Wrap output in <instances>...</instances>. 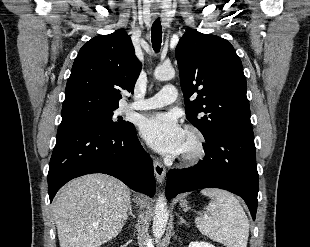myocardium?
<instances>
[{"label": "myocardium", "instance_id": "myocardium-1", "mask_svg": "<svg viewBox=\"0 0 310 247\" xmlns=\"http://www.w3.org/2000/svg\"><path fill=\"white\" fill-rule=\"evenodd\" d=\"M185 134L191 140V147L180 152L181 160L187 163H195L199 161L205 154V137L201 130L195 126H187Z\"/></svg>", "mask_w": 310, "mask_h": 247}]
</instances>
